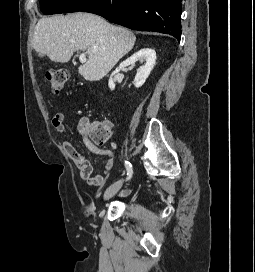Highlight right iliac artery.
Listing matches in <instances>:
<instances>
[{
  "label": "right iliac artery",
  "instance_id": "1",
  "mask_svg": "<svg viewBox=\"0 0 255 272\" xmlns=\"http://www.w3.org/2000/svg\"><path fill=\"white\" fill-rule=\"evenodd\" d=\"M125 168L127 170V180H129L132 177L133 170H132V165L129 161L124 162Z\"/></svg>",
  "mask_w": 255,
  "mask_h": 272
}]
</instances>
